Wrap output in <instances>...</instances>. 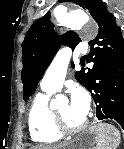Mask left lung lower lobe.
<instances>
[{
    "instance_id": "obj_1",
    "label": "left lung lower lobe",
    "mask_w": 124,
    "mask_h": 149,
    "mask_svg": "<svg viewBox=\"0 0 124 149\" xmlns=\"http://www.w3.org/2000/svg\"><path fill=\"white\" fill-rule=\"evenodd\" d=\"M87 90L98 120L113 119L124 129V53L99 64Z\"/></svg>"
}]
</instances>
